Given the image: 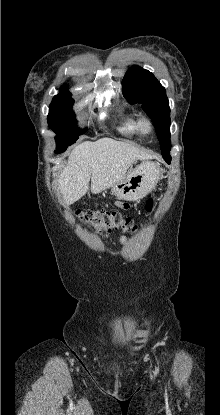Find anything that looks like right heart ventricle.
Segmentation results:
<instances>
[{
	"mask_svg": "<svg viewBox=\"0 0 220 415\" xmlns=\"http://www.w3.org/2000/svg\"><path fill=\"white\" fill-rule=\"evenodd\" d=\"M139 119L133 116L122 115L117 122V129L126 136H134L138 133Z\"/></svg>",
	"mask_w": 220,
	"mask_h": 415,
	"instance_id": "obj_1",
	"label": "right heart ventricle"
}]
</instances>
